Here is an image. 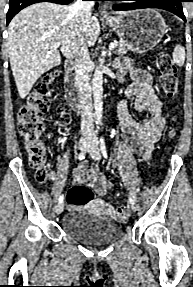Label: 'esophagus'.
Wrapping results in <instances>:
<instances>
[{"instance_id":"obj_1","label":"esophagus","mask_w":193,"mask_h":287,"mask_svg":"<svg viewBox=\"0 0 193 287\" xmlns=\"http://www.w3.org/2000/svg\"><path fill=\"white\" fill-rule=\"evenodd\" d=\"M101 15H102L103 19L111 18L110 14L104 8H102V10H101Z\"/></svg>"}]
</instances>
